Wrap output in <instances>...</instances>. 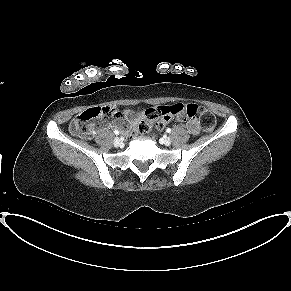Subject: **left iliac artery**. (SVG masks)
Masks as SVG:
<instances>
[{
	"instance_id": "44dca946",
	"label": "left iliac artery",
	"mask_w": 291,
	"mask_h": 291,
	"mask_svg": "<svg viewBox=\"0 0 291 291\" xmlns=\"http://www.w3.org/2000/svg\"><path fill=\"white\" fill-rule=\"evenodd\" d=\"M166 132H167V133H171V129L168 128V129L166 130Z\"/></svg>"
}]
</instances>
